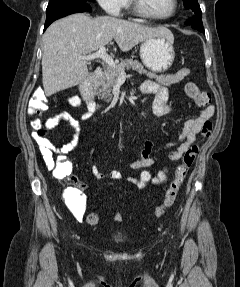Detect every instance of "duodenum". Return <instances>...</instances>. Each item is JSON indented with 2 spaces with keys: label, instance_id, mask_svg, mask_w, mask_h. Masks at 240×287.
Instances as JSON below:
<instances>
[{
  "label": "duodenum",
  "instance_id": "410a0bca",
  "mask_svg": "<svg viewBox=\"0 0 240 287\" xmlns=\"http://www.w3.org/2000/svg\"><path fill=\"white\" fill-rule=\"evenodd\" d=\"M103 70L98 67L80 84L82 98L89 104H94V86L102 77Z\"/></svg>",
  "mask_w": 240,
  "mask_h": 287
}]
</instances>
